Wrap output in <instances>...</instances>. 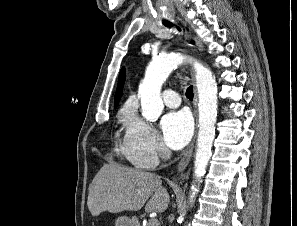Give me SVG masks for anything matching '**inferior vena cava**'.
<instances>
[{
	"instance_id": "602c4592",
	"label": "inferior vena cava",
	"mask_w": 297,
	"mask_h": 226,
	"mask_svg": "<svg viewBox=\"0 0 297 226\" xmlns=\"http://www.w3.org/2000/svg\"><path fill=\"white\" fill-rule=\"evenodd\" d=\"M160 156H161V159H162V160L166 161V160H168V159L170 158V156H171V152H170V150L167 149L166 147H163V148L161 149Z\"/></svg>"
}]
</instances>
